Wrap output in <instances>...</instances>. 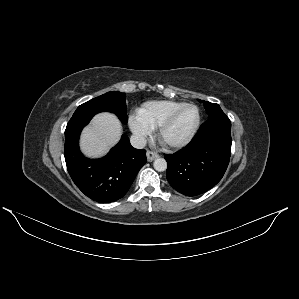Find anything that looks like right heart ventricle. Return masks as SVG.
<instances>
[{
    "mask_svg": "<svg viewBox=\"0 0 299 299\" xmlns=\"http://www.w3.org/2000/svg\"><path fill=\"white\" fill-rule=\"evenodd\" d=\"M184 104L175 100L149 101L138 110V116L152 130L157 129L172 111Z\"/></svg>",
    "mask_w": 299,
    "mask_h": 299,
    "instance_id": "e07e8e85",
    "label": "right heart ventricle"
}]
</instances>
